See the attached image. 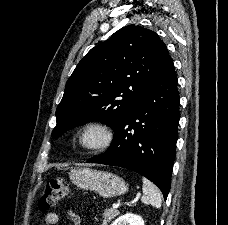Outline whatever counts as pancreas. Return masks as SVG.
<instances>
[{
	"label": "pancreas",
	"mask_w": 228,
	"mask_h": 225,
	"mask_svg": "<svg viewBox=\"0 0 228 225\" xmlns=\"http://www.w3.org/2000/svg\"><path fill=\"white\" fill-rule=\"evenodd\" d=\"M119 215V211L117 209H105L103 213V225H108L114 217H117Z\"/></svg>",
	"instance_id": "cf45deb5"
}]
</instances>
